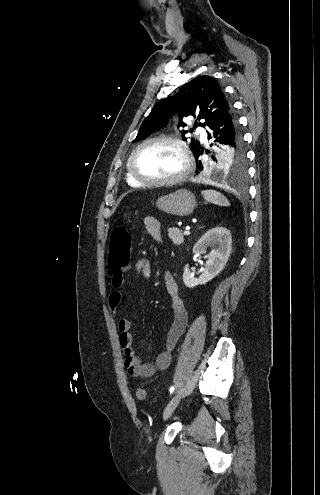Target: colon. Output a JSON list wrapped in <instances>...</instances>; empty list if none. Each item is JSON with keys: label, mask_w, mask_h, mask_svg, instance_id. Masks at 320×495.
Instances as JSON below:
<instances>
[{"label": "colon", "mask_w": 320, "mask_h": 495, "mask_svg": "<svg viewBox=\"0 0 320 495\" xmlns=\"http://www.w3.org/2000/svg\"><path fill=\"white\" fill-rule=\"evenodd\" d=\"M132 235L124 226H116L109 238L108 259L112 272H120L127 267L131 259ZM136 397L140 401L147 400L144 388L136 390Z\"/></svg>", "instance_id": "5ec220e1"}]
</instances>
